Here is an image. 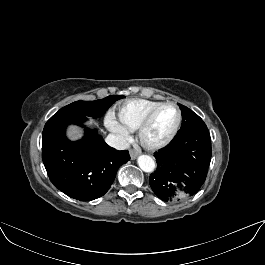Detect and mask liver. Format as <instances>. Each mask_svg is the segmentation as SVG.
<instances>
[{"label":"liver","mask_w":265,"mask_h":265,"mask_svg":"<svg viewBox=\"0 0 265 265\" xmlns=\"http://www.w3.org/2000/svg\"><path fill=\"white\" fill-rule=\"evenodd\" d=\"M92 123H93V120H90L89 124H92ZM67 135L71 140H78L82 137V132L77 127L71 126L68 129Z\"/></svg>","instance_id":"liver-1"}]
</instances>
